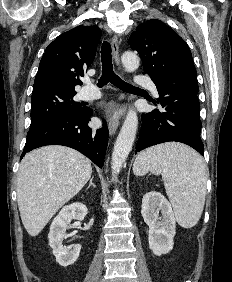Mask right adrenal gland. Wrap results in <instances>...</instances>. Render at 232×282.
Returning a JSON list of instances; mask_svg holds the SVG:
<instances>
[{
  "instance_id": "obj_1",
  "label": "right adrenal gland",
  "mask_w": 232,
  "mask_h": 282,
  "mask_svg": "<svg viewBox=\"0 0 232 282\" xmlns=\"http://www.w3.org/2000/svg\"><path fill=\"white\" fill-rule=\"evenodd\" d=\"M93 176L91 177L90 181H89V185L88 187L86 188V190H88L91 186L95 188V184L92 182L93 181Z\"/></svg>"
}]
</instances>
